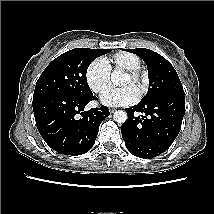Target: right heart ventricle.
Listing matches in <instances>:
<instances>
[{
    "label": "right heart ventricle",
    "mask_w": 214,
    "mask_h": 214,
    "mask_svg": "<svg viewBox=\"0 0 214 214\" xmlns=\"http://www.w3.org/2000/svg\"><path fill=\"white\" fill-rule=\"evenodd\" d=\"M109 70H137L141 67V59L139 56L129 52H117L111 59H104Z\"/></svg>",
    "instance_id": "right-heart-ventricle-1"
}]
</instances>
